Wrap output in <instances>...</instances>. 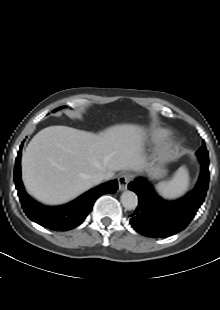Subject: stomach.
Segmentation results:
<instances>
[{"instance_id": "1", "label": "stomach", "mask_w": 220, "mask_h": 310, "mask_svg": "<svg viewBox=\"0 0 220 310\" xmlns=\"http://www.w3.org/2000/svg\"><path fill=\"white\" fill-rule=\"evenodd\" d=\"M166 171L161 165H155L150 169V174L154 178H161L165 175Z\"/></svg>"}]
</instances>
